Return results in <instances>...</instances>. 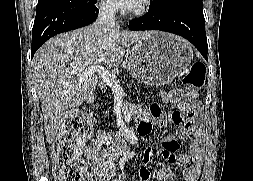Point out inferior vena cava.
<instances>
[{
  "instance_id": "inferior-vena-cava-1",
  "label": "inferior vena cava",
  "mask_w": 253,
  "mask_h": 181,
  "mask_svg": "<svg viewBox=\"0 0 253 181\" xmlns=\"http://www.w3.org/2000/svg\"><path fill=\"white\" fill-rule=\"evenodd\" d=\"M116 11L117 9L113 3H101L99 6V15L95 24L103 30L114 29Z\"/></svg>"
}]
</instances>
